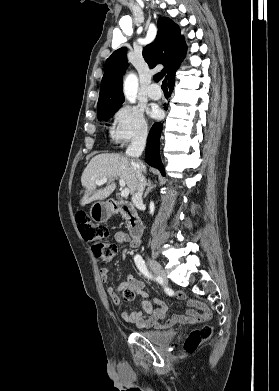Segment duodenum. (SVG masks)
Instances as JSON below:
<instances>
[{
	"mask_svg": "<svg viewBox=\"0 0 279 391\" xmlns=\"http://www.w3.org/2000/svg\"><path fill=\"white\" fill-rule=\"evenodd\" d=\"M109 209L111 213H119L125 218L130 232L131 244L139 242L144 225L133 205L128 201L110 200Z\"/></svg>",
	"mask_w": 279,
	"mask_h": 391,
	"instance_id": "1",
	"label": "duodenum"
}]
</instances>
